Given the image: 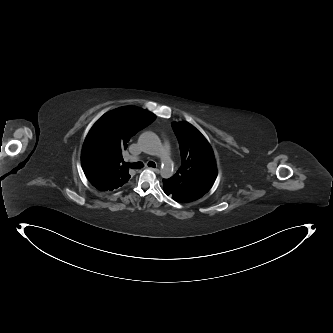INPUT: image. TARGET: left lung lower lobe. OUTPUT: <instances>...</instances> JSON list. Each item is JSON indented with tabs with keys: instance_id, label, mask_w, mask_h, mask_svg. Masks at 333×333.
Returning a JSON list of instances; mask_svg holds the SVG:
<instances>
[{
	"instance_id": "left-lung-lower-lobe-1",
	"label": "left lung lower lobe",
	"mask_w": 333,
	"mask_h": 333,
	"mask_svg": "<svg viewBox=\"0 0 333 333\" xmlns=\"http://www.w3.org/2000/svg\"><path fill=\"white\" fill-rule=\"evenodd\" d=\"M163 191L166 195L171 196L174 200H176L177 202H184L186 203V201L182 200L181 198H179L177 195L175 194H169L170 191V187H169V182L167 179H163Z\"/></svg>"
}]
</instances>
